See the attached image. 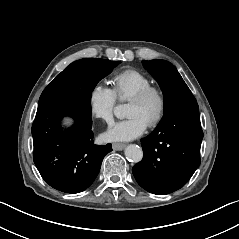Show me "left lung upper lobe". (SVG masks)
<instances>
[{
  "label": "left lung upper lobe",
  "mask_w": 239,
  "mask_h": 239,
  "mask_svg": "<svg viewBox=\"0 0 239 239\" xmlns=\"http://www.w3.org/2000/svg\"><path fill=\"white\" fill-rule=\"evenodd\" d=\"M148 72L157 80L164 96V117L174 108L196 102L195 97L178 73L168 61L155 59L142 61Z\"/></svg>",
  "instance_id": "1"
}]
</instances>
